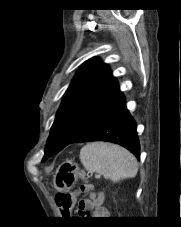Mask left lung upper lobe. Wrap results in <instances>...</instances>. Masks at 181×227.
I'll list each match as a JSON object with an SVG mask.
<instances>
[{
	"mask_svg": "<svg viewBox=\"0 0 181 227\" xmlns=\"http://www.w3.org/2000/svg\"><path fill=\"white\" fill-rule=\"evenodd\" d=\"M117 89V81L106 64L97 57L86 61L64 95L43 161L70 144L81 133L95 110Z\"/></svg>",
	"mask_w": 181,
	"mask_h": 227,
	"instance_id": "5c2ea615",
	"label": "left lung upper lobe"
}]
</instances>
